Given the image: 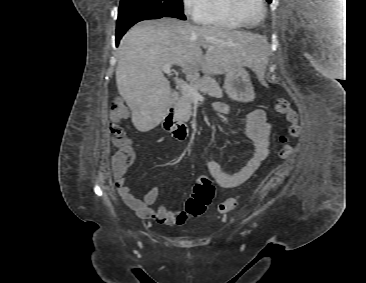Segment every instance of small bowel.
Here are the masks:
<instances>
[{"label": "small bowel", "instance_id": "small-bowel-1", "mask_svg": "<svg viewBox=\"0 0 366 283\" xmlns=\"http://www.w3.org/2000/svg\"><path fill=\"white\" fill-rule=\"evenodd\" d=\"M216 112L224 114L228 111L227 106L220 101L213 103ZM270 124L267 121V113L264 109H255L245 117V131L253 143V151L250 157L235 171L228 172L216 160H207L206 165L215 182L223 188H233L245 183L257 170L260 164L267 158L270 145ZM114 182L119 195L125 203L137 212L142 218L153 219L160 224L181 225L186 220L184 212H175L163 206L156 210L151 205L156 201L159 189L151 187L143 199L136 198L126 185V171L128 167H121L115 161L111 162Z\"/></svg>", "mask_w": 366, "mask_h": 283}]
</instances>
